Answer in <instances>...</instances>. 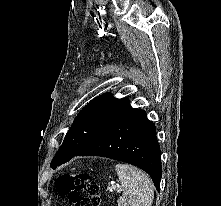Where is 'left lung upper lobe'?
<instances>
[{
    "mask_svg": "<svg viewBox=\"0 0 221 206\" xmlns=\"http://www.w3.org/2000/svg\"><path fill=\"white\" fill-rule=\"evenodd\" d=\"M129 106L128 99H116L111 94H104L90 101L75 118L51 162V167L54 168L70 160Z\"/></svg>",
    "mask_w": 221,
    "mask_h": 206,
    "instance_id": "obj_1",
    "label": "left lung upper lobe"
}]
</instances>
